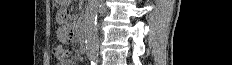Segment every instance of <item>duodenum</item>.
<instances>
[{"mask_svg":"<svg viewBox=\"0 0 232 65\" xmlns=\"http://www.w3.org/2000/svg\"><path fill=\"white\" fill-rule=\"evenodd\" d=\"M78 38H79V41L82 44H84L85 39H86V29H85V25L83 23L79 27Z\"/></svg>","mask_w":232,"mask_h":65,"instance_id":"1","label":"duodenum"}]
</instances>
